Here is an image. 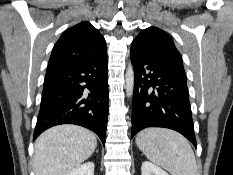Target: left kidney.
I'll return each mask as SVG.
<instances>
[{"instance_id": "1", "label": "left kidney", "mask_w": 233, "mask_h": 175, "mask_svg": "<svg viewBox=\"0 0 233 175\" xmlns=\"http://www.w3.org/2000/svg\"><path fill=\"white\" fill-rule=\"evenodd\" d=\"M141 175H169L165 170L155 164L145 161L141 166Z\"/></svg>"}]
</instances>
